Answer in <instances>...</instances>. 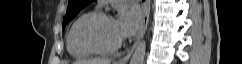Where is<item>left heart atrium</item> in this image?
Here are the masks:
<instances>
[{
    "instance_id": "39dd6f15",
    "label": "left heart atrium",
    "mask_w": 242,
    "mask_h": 64,
    "mask_svg": "<svg viewBox=\"0 0 242 64\" xmlns=\"http://www.w3.org/2000/svg\"><path fill=\"white\" fill-rule=\"evenodd\" d=\"M114 27L120 39L130 37L140 30L141 15L137 10L122 9L114 19Z\"/></svg>"
}]
</instances>
